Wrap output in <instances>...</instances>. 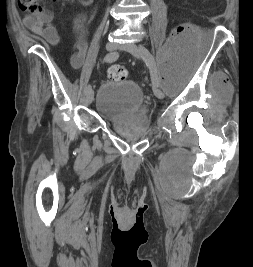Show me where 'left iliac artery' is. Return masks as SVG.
<instances>
[{"label": "left iliac artery", "mask_w": 253, "mask_h": 267, "mask_svg": "<svg viewBox=\"0 0 253 267\" xmlns=\"http://www.w3.org/2000/svg\"><path fill=\"white\" fill-rule=\"evenodd\" d=\"M139 49L141 50V52L143 54L142 58L144 59L146 65L151 70V79H152L153 86L154 87H159V79H158V75H157V72H156V62H155L154 58L148 56L147 48L144 47L143 45H140Z\"/></svg>", "instance_id": "1"}]
</instances>
